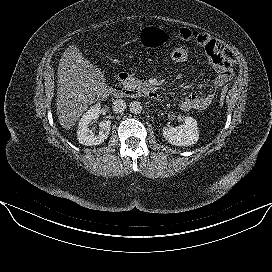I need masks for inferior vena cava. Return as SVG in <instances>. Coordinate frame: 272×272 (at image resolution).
Instances as JSON below:
<instances>
[{"label":"inferior vena cava","instance_id":"obj_1","mask_svg":"<svg viewBox=\"0 0 272 272\" xmlns=\"http://www.w3.org/2000/svg\"><path fill=\"white\" fill-rule=\"evenodd\" d=\"M112 108L115 113H122L126 109V102L122 99H117L113 102Z\"/></svg>","mask_w":272,"mask_h":272}]
</instances>
